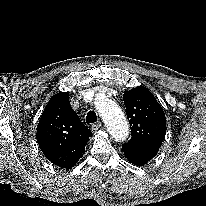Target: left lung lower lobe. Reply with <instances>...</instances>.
Instances as JSON below:
<instances>
[{
	"label": "left lung lower lobe",
	"instance_id": "1",
	"mask_svg": "<svg viewBox=\"0 0 206 206\" xmlns=\"http://www.w3.org/2000/svg\"><path fill=\"white\" fill-rule=\"evenodd\" d=\"M123 151L128 161L136 166H143L156 156L149 152H139L127 149H124Z\"/></svg>",
	"mask_w": 206,
	"mask_h": 206
}]
</instances>
